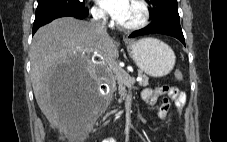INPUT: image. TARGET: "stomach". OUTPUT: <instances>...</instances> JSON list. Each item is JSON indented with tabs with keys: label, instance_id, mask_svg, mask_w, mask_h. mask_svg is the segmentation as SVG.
<instances>
[{
	"label": "stomach",
	"instance_id": "stomach-1",
	"mask_svg": "<svg viewBox=\"0 0 227 142\" xmlns=\"http://www.w3.org/2000/svg\"><path fill=\"white\" fill-rule=\"evenodd\" d=\"M127 50L138 68L152 77L166 76L175 65L173 50L155 38L130 42Z\"/></svg>",
	"mask_w": 227,
	"mask_h": 142
}]
</instances>
